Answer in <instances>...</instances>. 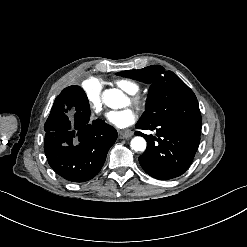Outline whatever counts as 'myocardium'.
I'll list each match as a JSON object with an SVG mask.
<instances>
[{
    "instance_id": "myocardium-1",
    "label": "myocardium",
    "mask_w": 247,
    "mask_h": 247,
    "mask_svg": "<svg viewBox=\"0 0 247 247\" xmlns=\"http://www.w3.org/2000/svg\"><path fill=\"white\" fill-rule=\"evenodd\" d=\"M133 102L144 107L146 105V97L141 95H136L133 97Z\"/></svg>"
}]
</instances>
